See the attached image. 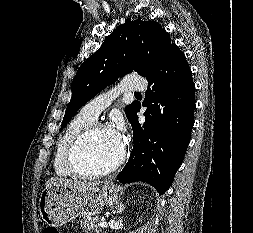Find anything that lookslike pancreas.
Listing matches in <instances>:
<instances>
[{"label": "pancreas", "instance_id": "1", "mask_svg": "<svg viewBox=\"0 0 253 233\" xmlns=\"http://www.w3.org/2000/svg\"><path fill=\"white\" fill-rule=\"evenodd\" d=\"M81 227L85 232H96L100 233L101 229L97 224V219H89L88 216H83V220H81Z\"/></svg>", "mask_w": 253, "mask_h": 233}]
</instances>
